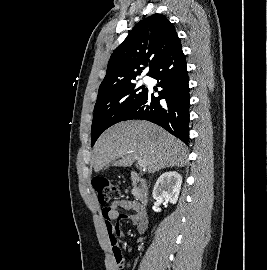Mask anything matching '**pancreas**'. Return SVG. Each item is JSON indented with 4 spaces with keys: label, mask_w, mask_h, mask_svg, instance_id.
Wrapping results in <instances>:
<instances>
[{
    "label": "pancreas",
    "mask_w": 267,
    "mask_h": 270,
    "mask_svg": "<svg viewBox=\"0 0 267 270\" xmlns=\"http://www.w3.org/2000/svg\"><path fill=\"white\" fill-rule=\"evenodd\" d=\"M132 193H133V195H134L135 197H137V194H136L135 190H133Z\"/></svg>",
    "instance_id": "cf45deb5"
}]
</instances>
